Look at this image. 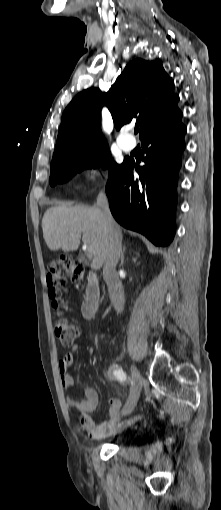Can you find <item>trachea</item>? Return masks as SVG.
Masks as SVG:
<instances>
[{
  "label": "trachea",
  "mask_w": 221,
  "mask_h": 510,
  "mask_svg": "<svg viewBox=\"0 0 221 510\" xmlns=\"http://www.w3.org/2000/svg\"><path fill=\"white\" fill-rule=\"evenodd\" d=\"M138 131H139V128H138V127H136V128L134 129V133H135V134H137V133H138Z\"/></svg>",
  "instance_id": "trachea-1"
}]
</instances>
